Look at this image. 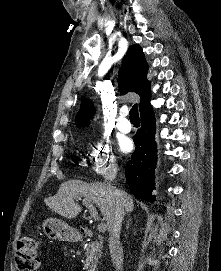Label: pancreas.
Here are the masks:
<instances>
[{
	"instance_id": "cf45deb5",
	"label": "pancreas",
	"mask_w": 221,
	"mask_h": 271,
	"mask_svg": "<svg viewBox=\"0 0 221 271\" xmlns=\"http://www.w3.org/2000/svg\"><path fill=\"white\" fill-rule=\"evenodd\" d=\"M79 245H87L85 249L86 259L83 261L84 269H88V271H94L103 251V245L101 241H90L88 240H79Z\"/></svg>"
}]
</instances>
